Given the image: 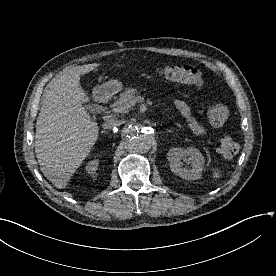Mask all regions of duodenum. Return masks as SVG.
Listing matches in <instances>:
<instances>
[{"label": "duodenum", "instance_id": "410a0bca", "mask_svg": "<svg viewBox=\"0 0 276 276\" xmlns=\"http://www.w3.org/2000/svg\"><path fill=\"white\" fill-rule=\"evenodd\" d=\"M97 100L99 102H106L108 100V96L105 92H100L98 95H97Z\"/></svg>", "mask_w": 276, "mask_h": 276}]
</instances>
